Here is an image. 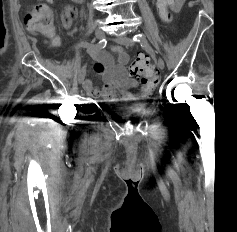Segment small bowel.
I'll return each mask as SVG.
<instances>
[{"label": "small bowel", "instance_id": "c3829d8e", "mask_svg": "<svg viewBox=\"0 0 237 232\" xmlns=\"http://www.w3.org/2000/svg\"><path fill=\"white\" fill-rule=\"evenodd\" d=\"M172 10L178 12L185 0H172ZM75 9L72 6H66L62 15V23L65 28H69L75 18L76 12L73 16H69L68 12ZM91 57L96 61L94 72L103 79V87L101 92L93 85L89 79L84 81V89L93 98L102 97L108 102H120L132 99L131 89L138 86L136 79L131 77L127 72V64L129 62L128 52L120 47L113 46L111 53L101 52L93 48H88ZM112 54L117 56L114 61ZM150 91L142 90L141 95H147Z\"/></svg>", "mask_w": 237, "mask_h": 232}]
</instances>
